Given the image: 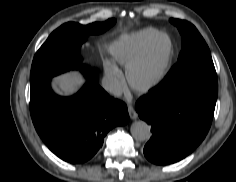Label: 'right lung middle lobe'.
I'll use <instances>...</instances> for the list:
<instances>
[{
  "label": "right lung middle lobe",
  "instance_id": "1",
  "mask_svg": "<svg viewBox=\"0 0 236 182\" xmlns=\"http://www.w3.org/2000/svg\"><path fill=\"white\" fill-rule=\"evenodd\" d=\"M114 23L115 19H108L102 23L95 22L86 26L74 22L60 26L35 54L30 83L51 78L70 69H77L80 61L79 48L86 37L103 33ZM79 68L92 83H98L96 70L86 69L83 65H79Z\"/></svg>",
  "mask_w": 236,
  "mask_h": 182
}]
</instances>
